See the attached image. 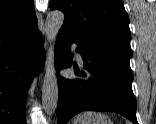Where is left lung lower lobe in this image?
Returning <instances> with one entry per match:
<instances>
[{"instance_id":"0a47b994","label":"left lung lower lobe","mask_w":156,"mask_h":124,"mask_svg":"<svg viewBox=\"0 0 156 124\" xmlns=\"http://www.w3.org/2000/svg\"><path fill=\"white\" fill-rule=\"evenodd\" d=\"M72 43L77 44L76 51L83 58L85 72L74 67L80 79L71 80L61 77L59 71L72 65ZM55 67L59 91L58 124H66L82 111L116 112L138 124L129 61L112 53L85 49L72 35L60 30L55 43Z\"/></svg>"}]
</instances>
